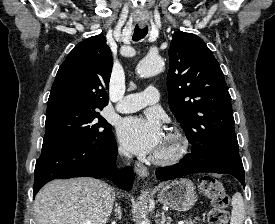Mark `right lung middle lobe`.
<instances>
[{"instance_id":"right-lung-middle-lobe-1","label":"right lung middle lobe","mask_w":275,"mask_h":224,"mask_svg":"<svg viewBox=\"0 0 275 224\" xmlns=\"http://www.w3.org/2000/svg\"><path fill=\"white\" fill-rule=\"evenodd\" d=\"M100 110L61 109L46 115L43 145L101 142L113 132Z\"/></svg>"}]
</instances>
